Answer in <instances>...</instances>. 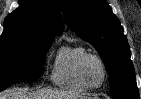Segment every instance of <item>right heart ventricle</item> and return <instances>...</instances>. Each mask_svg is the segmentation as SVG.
Wrapping results in <instances>:
<instances>
[{
	"mask_svg": "<svg viewBox=\"0 0 141 99\" xmlns=\"http://www.w3.org/2000/svg\"><path fill=\"white\" fill-rule=\"evenodd\" d=\"M87 50L81 45L62 46L54 59L51 81L58 87L75 93H83L89 88L79 76V64Z\"/></svg>",
	"mask_w": 141,
	"mask_h": 99,
	"instance_id": "obj_1",
	"label": "right heart ventricle"
}]
</instances>
